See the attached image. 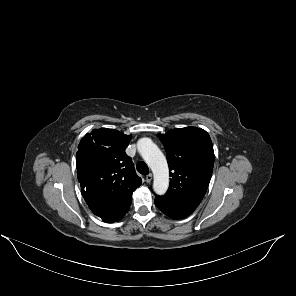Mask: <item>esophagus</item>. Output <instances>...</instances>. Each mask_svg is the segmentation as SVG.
Listing matches in <instances>:
<instances>
[{"instance_id":"obj_1","label":"esophagus","mask_w":296,"mask_h":296,"mask_svg":"<svg viewBox=\"0 0 296 296\" xmlns=\"http://www.w3.org/2000/svg\"><path fill=\"white\" fill-rule=\"evenodd\" d=\"M152 178H153L152 174H151V173H150V174H148V175L145 177V179H146V182H147V183H150V182H151V180H152Z\"/></svg>"}]
</instances>
